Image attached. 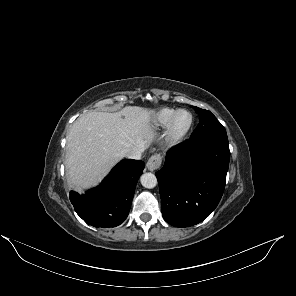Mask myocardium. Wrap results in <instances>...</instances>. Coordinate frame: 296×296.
Wrapping results in <instances>:
<instances>
[{
  "label": "myocardium",
  "mask_w": 296,
  "mask_h": 296,
  "mask_svg": "<svg viewBox=\"0 0 296 296\" xmlns=\"http://www.w3.org/2000/svg\"><path fill=\"white\" fill-rule=\"evenodd\" d=\"M182 113H186L189 116V122L184 128L179 129L177 128L176 123H177L178 116ZM193 123H194V118L191 112L185 109L177 110L171 117L166 127V130L164 133L165 145L169 148L179 145L190 132L193 126Z\"/></svg>",
  "instance_id": "myocardium-1"
}]
</instances>
